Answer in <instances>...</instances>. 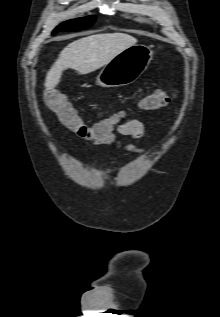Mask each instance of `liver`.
<instances>
[{
	"mask_svg": "<svg viewBox=\"0 0 220 317\" xmlns=\"http://www.w3.org/2000/svg\"><path fill=\"white\" fill-rule=\"evenodd\" d=\"M136 43V38L125 33L95 34L73 41L61 51L47 72L44 86L46 89L55 88L67 68L80 74L91 73Z\"/></svg>",
	"mask_w": 220,
	"mask_h": 317,
	"instance_id": "liver-1",
	"label": "liver"
}]
</instances>
